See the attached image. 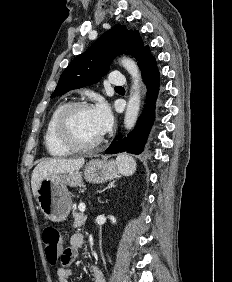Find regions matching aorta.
I'll return each mask as SVG.
<instances>
[{
	"label": "aorta",
	"mask_w": 232,
	"mask_h": 282,
	"mask_svg": "<svg viewBox=\"0 0 232 282\" xmlns=\"http://www.w3.org/2000/svg\"><path fill=\"white\" fill-rule=\"evenodd\" d=\"M122 66L128 71L133 80L131 96L127 103V108L125 111L124 125L127 129L134 127L139 109H140V83L141 75L137 64L134 60L130 58H123L121 60Z\"/></svg>",
	"instance_id": "obj_1"
}]
</instances>
